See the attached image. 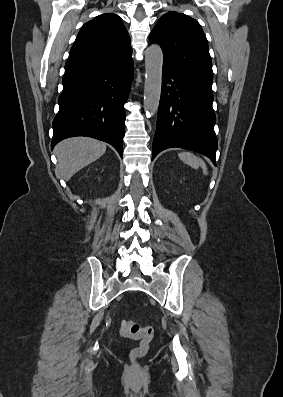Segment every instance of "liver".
<instances>
[{"label":"liver","mask_w":283,"mask_h":397,"mask_svg":"<svg viewBox=\"0 0 283 397\" xmlns=\"http://www.w3.org/2000/svg\"><path fill=\"white\" fill-rule=\"evenodd\" d=\"M106 151L104 142L88 137L68 138L57 144V170L66 181L79 170L99 159Z\"/></svg>","instance_id":"obj_1"}]
</instances>
